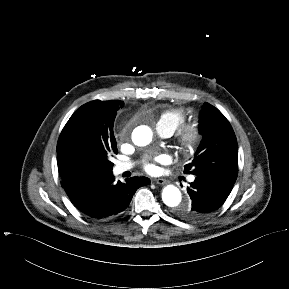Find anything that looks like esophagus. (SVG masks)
<instances>
[{"label": "esophagus", "mask_w": 289, "mask_h": 289, "mask_svg": "<svg viewBox=\"0 0 289 289\" xmlns=\"http://www.w3.org/2000/svg\"><path fill=\"white\" fill-rule=\"evenodd\" d=\"M153 181L157 184H160V185H164L167 183V180L164 179V178H157V179H153Z\"/></svg>", "instance_id": "1"}]
</instances>
